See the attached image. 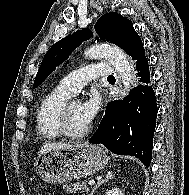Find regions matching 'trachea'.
<instances>
[{
  "label": "trachea",
  "mask_w": 189,
  "mask_h": 195,
  "mask_svg": "<svg viewBox=\"0 0 189 195\" xmlns=\"http://www.w3.org/2000/svg\"><path fill=\"white\" fill-rule=\"evenodd\" d=\"M108 78H114V76L113 75H110V76H108Z\"/></svg>",
  "instance_id": "1"
}]
</instances>
